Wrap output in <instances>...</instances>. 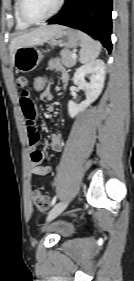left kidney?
Wrapping results in <instances>:
<instances>
[{"instance_id":"1","label":"left kidney","mask_w":134,"mask_h":281,"mask_svg":"<svg viewBox=\"0 0 134 281\" xmlns=\"http://www.w3.org/2000/svg\"><path fill=\"white\" fill-rule=\"evenodd\" d=\"M86 77L89 81H86ZM74 84L85 91L86 100L79 104L68 102V113L71 118L84 111L101 94L105 81V63L98 59L79 67L73 77Z\"/></svg>"}]
</instances>
